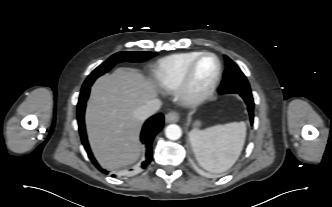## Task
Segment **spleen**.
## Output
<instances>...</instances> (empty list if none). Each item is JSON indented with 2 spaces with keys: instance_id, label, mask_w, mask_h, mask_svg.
<instances>
[{
  "instance_id": "obj_1",
  "label": "spleen",
  "mask_w": 332,
  "mask_h": 207,
  "mask_svg": "<svg viewBox=\"0 0 332 207\" xmlns=\"http://www.w3.org/2000/svg\"><path fill=\"white\" fill-rule=\"evenodd\" d=\"M246 136L244 122L215 125L189 133L198 163L207 171L221 173L230 169L239 158Z\"/></svg>"
}]
</instances>
